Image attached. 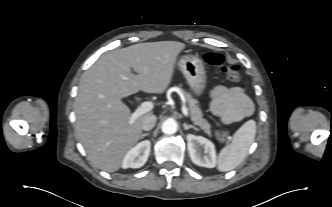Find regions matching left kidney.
Listing matches in <instances>:
<instances>
[{"label": "left kidney", "instance_id": "left-kidney-1", "mask_svg": "<svg viewBox=\"0 0 332 207\" xmlns=\"http://www.w3.org/2000/svg\"><path fill=\"white\" fill-rule=\"evenodd\" d=\"M188 152L192 162L198 166L214 168L216 166V151L214 144L202 136L187 135ZM202 149L204 154H202Z\"/></svg>", "mask_w": 332, "mask_h": 207}]
</instances>
